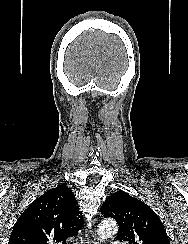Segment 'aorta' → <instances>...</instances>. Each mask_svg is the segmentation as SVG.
Masks as SVG:
<instances>
[{"instance_id": "1", "label": "aorta", "mask_w": 188, "mask_h": 244, "mask_svg": "<svg viewBox=\"0 0 188 244\" xmlns=\"http://www.w3.org/2000/svg\"><path fill=\"white\" fill-rule=\"evenodd\" d=\"M117 224L113 219H105L98 226V235L102 241L117 233Z\"/></svg>"}]
</instances>
